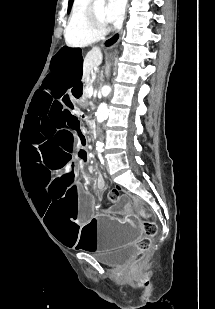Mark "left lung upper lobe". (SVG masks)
<instances>
[{
    "mask_svg": "<svg viewBox=\"0 0 215 309\" xmlns=\"http://www.w3.org/2000/svg\"><path fill=\"white\" fill-rule=\"evenodd\" d=\"M72 2L73 0H69L68 10L70 9Z\"/></svg>",
    "mask_w": 215,
    "mask_h": 309,
    "instance_id": "obj_1",
    "label": "left lung upper lobe"
}]
</instances>
